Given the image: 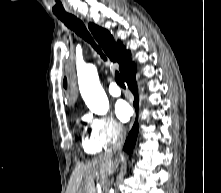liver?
<instances>
[{
  "label": "liver",
  "mask_w": 221,
  "mask_h": 193,
  "mask_svg": "<svg viewBox=\"0 0 221 193\" xmlns=\"http://www.w3.org/2000/svg\"><path fill=\"white\" fill-rule=\"evenodd\" d=\"M118 166L114 153L106 152L86 164L78 163L70 177L66 193H95L97 173L112 174Z\"/></svg>",
  "instance_id": "6515ba94"
}]
</instances>
